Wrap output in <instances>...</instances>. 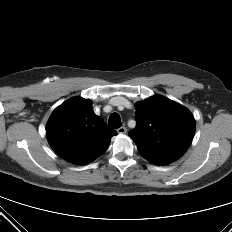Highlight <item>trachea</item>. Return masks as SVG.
<instances>
[{
    "label": "trachea",
    "instance_id": "obj_1",
    "mask_svg": "<svg viewBox=\"0 0 232 232\" xmlns=\"http://www.w3.org/2000/svg\"><path fill=\"white\" fill-rule=\"evenodd\" d=\"M108 125L109 127L114 128V129L121 127V119H120L119 114L112 113L109 117Z\"/></svg>",
    "mask_w": 232,
    "mask_h": 232
}]
</instances>
